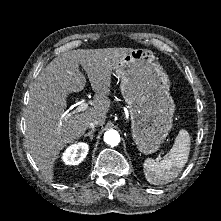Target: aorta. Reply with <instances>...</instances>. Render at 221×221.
<instances>
[{
	"mask_svg": "<svg viewBox=\"0 0 221 221\" xmlns=\"http://www.w3.org/2000/svg\"><path fill=\"white\" fill-rule=\"evenodd\" d=\"M104 141L111 146H117L120 142V135L116 130H108L104 134Z\"/></svg>",
	"mask_w": 221,
	"mask_h": 221,
	"instance_id": "obj_1",
	"label": "aorta"
}]
</instances>
